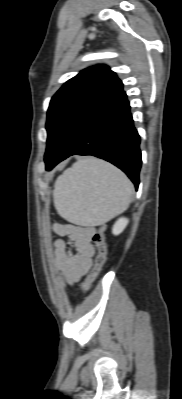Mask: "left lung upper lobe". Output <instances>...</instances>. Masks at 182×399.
Listing matches in <instances>:
<instances>
[{
  "mask_svg": "<svg viewBox=\"0 0 182 399\" xmlns=\"http://www.w3.org/2000/svg\"><path fill=\"white\" fill-rule=\"evenodd\" d=\"M122 89V81L105 65L89 67L68 80L48 109L45 163L55 160L83 122Z\"/></svg>",
  "mask_w": 182,
  "mask_h": 399,
  "instance_id": "obj_1",
  "label": "left lung upper lobe"
}]
</instances>
